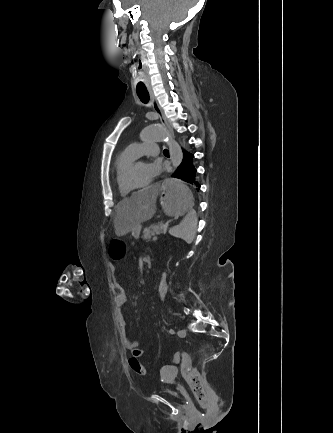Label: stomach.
I'll return each mask as SVG.
<instances>
[{
	"mask_svg": "<svg viewBox=\"0 0 333 433\" xmlns=\"http://www.w3.org/2000/svg\"><path fill=\"white\" fill-rule=\"evenodd\" d=\"M159 196L167 220H182L183 215L193 210L192 192L187 183H181L180 176H165ZM139 233L140 230H132L134 238H138Z\"/></svg>",
	"mask_w": 333,
	"mask_h": 433,
	"instance_id": "0dacf381",
	"label": "stomach"
}]
</instances>
